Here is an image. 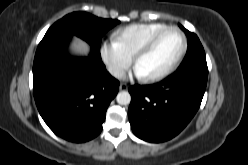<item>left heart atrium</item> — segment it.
Returning a JSON list of instances; mask_svg holds the SVG:
<instances>
[{
	"mask_svg": "<svg viewBox=\"0 0 248 165\" xmlns=\"http://www.w3.org/2000/svg\"><path fill=\"white\" fill-rule=\"evenodd\" d=\"M133 74L134 76H136L137 78H145L146 75L144 74V72L142 71V69L139 66H135L134 70H133Z\"/></svg>",
	"mask_w": 248,
	"mask_h": 165,
	"instance_id": "obj_1",
	"label": "left heart atrium"
}]
</instances>
